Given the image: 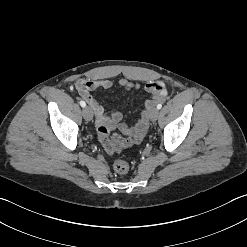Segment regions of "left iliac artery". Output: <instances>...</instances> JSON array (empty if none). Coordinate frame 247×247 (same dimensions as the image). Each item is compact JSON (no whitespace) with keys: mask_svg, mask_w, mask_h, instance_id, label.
Segmentation results:
<instances>
[{"mask_svg":"<svg viewBox=\"0 0 247 247\" xmlns=\"http://www.w3.org/2000/svg\"><path fill=\"white\" fill-rule=\"evenodd\" d=\"M161 108H162V104H158L157 109H161Z\"/></svg>","mask_w":247,"mask_h":247,"instance_id":"obj_1","label":"left iliac artery"}]
</instances>
